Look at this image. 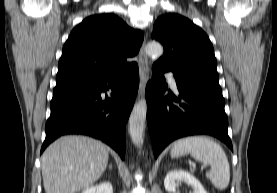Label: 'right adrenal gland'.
Returning <instances> with one entry per match:
<instances>
[{
	"label": "right adrenal gland",
	"mask_w": 277,
	"mask_h": 193,
	"mask_svg": "<svg viewBox=\"0 0 277 193\" xmlns=\"http://www.w3.org/2000/svg\"><path fill=\"white\" fill-rule=\"evenodd\" d=\"M109 169H112V164L109 165Z\"/></svg>",
	"instance_id": "1"
}]
</instances>
